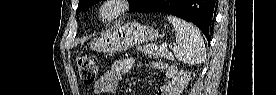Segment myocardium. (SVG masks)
<instances>
[{"label":"myocardium","instance_id":"obj_1","mask_svg":"<svg viewBox=\"0 0 277 95\" xmlns=\"http://www.w3.org/2000/svg\"><path fill=\"white\" fill-rule=\"evenodd\" d=\"M129 9L127 0H105L98 9V15L103 22H112Z\"/></svg>","mask_w":277,"mask_h":95}]
</instances>
